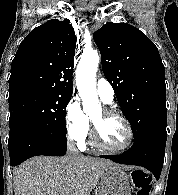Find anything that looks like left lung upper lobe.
I'll return each mask as SVG.
<instances>
[{"label":"left lung upper lobe","mask_w":178,"mask_h":195,"mask_svg":"<svg viewBox=\"0 0 178 195\" xmlns=\"http://www.w3.org/2000/svg\"><path fill=\"white\" fill-rule=\"evenodd\" d=\"M93 37L104 75L133 129L134 144L166 136L165 69L157 47L127 23H106Z\"/></svg>","instance_id":"left-lung-upper-lobe-1"}]
</instances>
